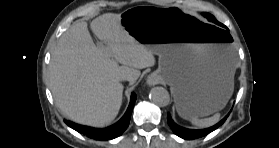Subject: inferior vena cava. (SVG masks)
<instances>
[{
	"instance_id": "1",
	"label": "inferior vena cava",
	"mask_w": 279,
	"mask_h": 148,
	"mask_svg": "<svg viewBox=\"0 0 279 148\" xmlns=\"http://www.w3.org/2000/svg\"><path fill=\"white\" fill-rule=\"evenodd\" d=\"M120 80H121V81H128V77L125 76V75H122V76L120 77Z\"/></svg>"
}]
</instances>
